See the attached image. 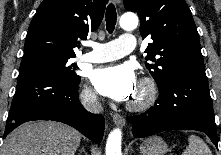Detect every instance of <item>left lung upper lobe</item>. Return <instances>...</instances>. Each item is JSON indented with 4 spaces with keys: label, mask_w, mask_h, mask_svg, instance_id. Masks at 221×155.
Segmentation results:
<instances>
[{
    "label": "left lung upper lobe",
    "mask_w": 221,
    "mask_h": 155,
    "mask_svg": "<svg viewBox=\"0 0 221 155\" xmlns=\"http://www.w3.org/2000/svg\"><path fill=\"white\" fill-rule=\"evenodd\" d=\"M127 10L137 12L143 39L153 40L145 52L147 69L159 90L175 76L205 72L199 35L184 0H124Z\"/></svg>",
    "instance_id": "obj_1"
}]
</instances>
